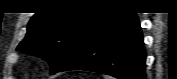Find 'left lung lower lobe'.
<instances>
[{"label": "left lung lower lobe", "mask_w": 177, "mask_h": 79, "mask_svg": "<svg viewBox=\"0 0 177 79\" xmlns=\"http://www.w3.org/2000/svg\"><path fill=\"white\" fill-rule=\"evenodd\" d=\"M145 58L136 14L107 12L58 72L87 70L119 79H144Z\"/></svg>", "instance_id": "left-lung-lower-lobe-1"}]
</instances>
